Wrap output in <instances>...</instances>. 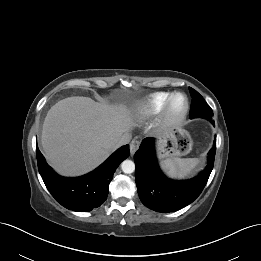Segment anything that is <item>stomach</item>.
I'll list each match as a JSON object with an SVG mask.
<instances>
[{
	"instance_id": "obj_1",
	"label": "stomach",
	"mask_w": 261,
	"mask_h": 261,
	"mask_svg": "<svg viewBox=\"0 0 261 261\" xmlns=\"http://www.w3.org/2000/svg\"><path fill=\"white\" fill-rule=\"evenodd\" d=\"M191 148L192 139L183 128H171L158 137L157 154L160 159L186 155Z\"/></svg>"
}]
</instances>
